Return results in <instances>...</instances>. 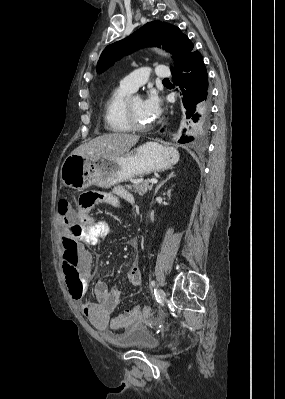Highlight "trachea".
I'll return each mask as SVG.
<instances>
[{
  "label": "trachea",
  "instance_id": "trachea-1",
  "mask_svg": "<svg viewBox=\"0 0 285 399\" xmlns=\"http://www.w3.org/2000/svg\"><path fill=\"white\" fill-rule=\"evenodd\" d=\"M163 81H164V82H168L169 80H168V79H163Z\"/></svg>",
  "mask_w": 285,
  "mask_h": 399
}]
</instances>
